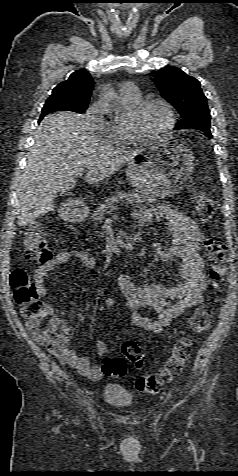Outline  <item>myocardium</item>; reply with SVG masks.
<instances>
[{
	"instance_id": "obj_1",
	"label": "myocardium",
	"mask_w": 238,
	"mask_h": 476,
	"mask_svg": "<svg viewBox=\"0 0 238 476\" xmlns=\"http://www.w3.org/2000/svg\"><path fill=\"white\" fill-rule=\"evenodd\" d=\"M161 105L168 114V123L163 130L155 134H145L137 129L129 120H126V126L130 135L139 142H147L157 140L167 136L175 127L176 115L173 106L162 98H147L140 100L136 105L131 108L130 114L133 116L140 115L150 105Z\"/></svg>"
}]
</instances>
